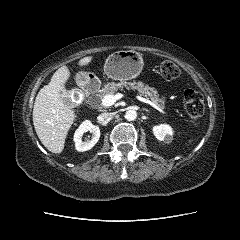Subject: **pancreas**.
<instances>
[{"instance_id": "cf45deb5", "label": "pancreas", "mask_w": 240, "mask_h": 240, "mask_svg": "<svg viewBox=\"0 0 240 240\" xmlns=\"http://www.w3.org/2000/svg\"><path fill=\"white\" fill-rule=\"evenodd\" d=\"M137 90L140 95L145 96L146 98L150 99L153 103L158 105L160 108L165 107V98H159L158 93L153 88L145 85L143 82H109L104 85L102 89L99 90V93L96 94L99 102L96 103L95 108H102V101L103 97L106 95H114L118 90H123V88Z\"/></svg>"}]
</instances>
